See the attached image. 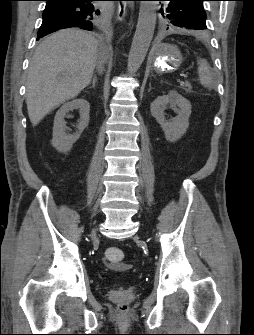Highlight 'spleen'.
Instances as JSON below:
<instances>
[{"label":"spleen","mask_w":254,"mask_h":335,"mask_svg":"<svg viewBox=\"0 0 254 335\" xmlns=\"http://www.w3.org/2000/svg\"><path fill=\"white\" fill-rule=\"evenodd\" d=\"M198 65L200 84L204 87H211L213 85V77L208 62L204 59H201L198 61Z\"/></svg>","instance_id":"1"}]
</instances>
